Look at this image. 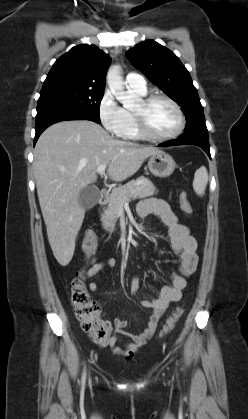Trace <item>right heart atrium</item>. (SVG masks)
<instances>
[{"label": "right heart atrium", "instance_id": "d8ad5b80", "mask_svg": "<svg viewBox=\"0 0 248 419\" xmlns=\"http://www.w3.org/2000/svg\"><path fill=\"white\" fill-rule=\"evenodd\" d=\"M98 115L101 124L111 134L122 137L126 124V110L119 105L111 91H105L98 105Z\"/></svg>", "mask_w": 248, "mask_h": 419}]
</instances>
